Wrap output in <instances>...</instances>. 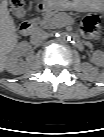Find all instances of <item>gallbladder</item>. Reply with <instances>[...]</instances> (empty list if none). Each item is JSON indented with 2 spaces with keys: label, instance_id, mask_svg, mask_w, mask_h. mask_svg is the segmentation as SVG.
<instances>
[{
  "label": "gallbladder",
  "instance_id": "gallbladder-1",
  "mask_svg": "<svg viewBox=\"0 0 104 137\" xmlns=\"http://www.w3.org/2000/svg\"><path fill=\"white\" fill-rule=\"evenodd\" d=\"M16 16L23 17L25 15V10L23 7H19L15 11Z\"/></svg>",
  "mask_w": 104,
  "mask_h": 137
}]
</instances>
